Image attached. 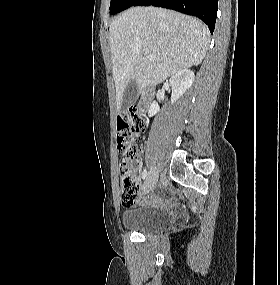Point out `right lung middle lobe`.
Returning <instances> with one entry per match:
<instances>
[{
    "label": "right lung middle lobe",
    "instance_id": "obj_1",
    "mask_svg": "<svg viewBox=\"0 0 280 285\" xmlns=\"http://www.w3.org/2000/svg\"><path fill=\"white\" fill-rule=\"evenodd\" d=\"M137 0H111L110 14L119 13L135 4Z\"/></svg>",
    "mask_w": 280,
    "mask_h": 285
}]
</instances>
